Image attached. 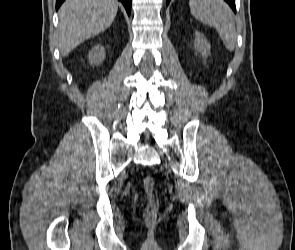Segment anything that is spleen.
Wrapping results in <instances>:
<instances>
[{
	"mask_svg": "<svg viewBox=\"0 0 295 250\" xmlns=\"http://www.w3.org/2000/svg\"><path fill=\"white\" fill-rule=\"evenodd\" d=\"M189 7L196 19L216 28L229 51L235 49V22L231 9L223 0H190Z\"/></svg>",
	"mask_w": 295,
	"mask_h": 250,
	"instance_id": "3e777b00",
	"label": "spleen"
}]
</instances>
